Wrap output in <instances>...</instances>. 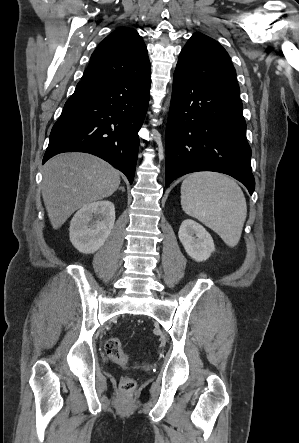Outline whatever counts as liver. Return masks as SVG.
I'll return each instance as SVG.
<instances>
[{"instance_id": "1", "label": "liver", "mask_w": 299, "mask_h": 443, "mask_svg": "<svg viewBox=\"0 0 299 443\" xmlns=\"http://www.w3.org/2000/svg\"><path fill=\"white\" fill-rule=\"evenodd\" d=\"M120 174L91 154L70 152L48 160L43 167L42 197L54 229L81 207L111 196Z\"/></svg>"}]
</instances>
